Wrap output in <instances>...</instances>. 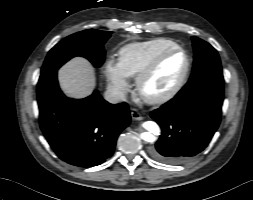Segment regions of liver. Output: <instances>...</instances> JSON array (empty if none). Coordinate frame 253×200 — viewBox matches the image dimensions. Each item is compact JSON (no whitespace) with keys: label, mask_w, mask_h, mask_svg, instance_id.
Listing matches in <instances>:
<instances>
[{"label":"liver","mask_w":253,"mask_h":200,"mask_svg":"<svg viewBox=\"0 0 253 200\" xmlns=\"http://www.w3.org/2000/svg\"><path fill=\"white\" fill-rule=\"evenodd\" d=\"M58 78L61 89L67 96L73 98L90 95L95 86L94 69L82 57L73 58L62 66Z\"/></svg>","instance_id":"obj_1"}]
</instances>
